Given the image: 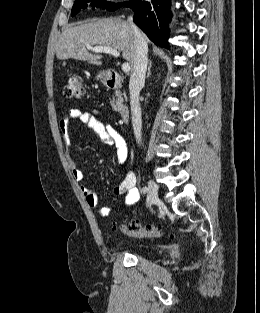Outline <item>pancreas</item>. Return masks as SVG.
I'll return each mask as SVG.
<instances>
[{
    "mask_svg": "<svg viewBox=\"0 0 260 313\" xmlns=\"http://www.w3.org/2000/svg\"><path fill=\"white\" fill-rule=\"evenodd\" d=\"M123 102H124L123 94L116 92L113 95L112 99L110 100V105L114 110H119L122 108Z\"/></svg>",
    "mask_w": 260,
    "mask_h": 313,
    "instance_id": "cf45deb5",
    "label": "pancreas"
}]
</instances>
